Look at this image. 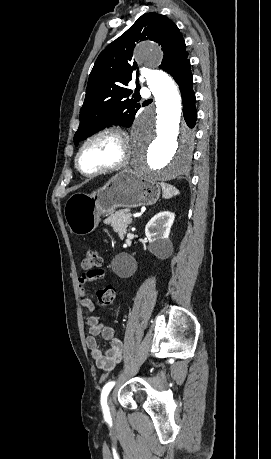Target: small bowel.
I'll list each match as a JSON object with an SVG mask.
<instances>
[{
	"label": "small bowel",
	"mask_w": 271,
	"mask_h": 459,
	"mask_svg": "<svg viewBox=\"0 0 271 459\" xmlns=\"http://www.w3.org/2000/svg\"><path fill=\"white\" fill-rule=\"evenodd\" d=\"M105 280L106 273L103 269L86 271L79 277L78 286L81 305L88 311H93L95 304L87 295V284ZM87 323L88 336L86 337V345L92 358L100 369L105 371L113 370L116 364L121 361L123 351L122 342L116 337L115 329L111 326H104L96 316H89ZM98 335H101L103 339L109 342L106 350L101 348L97 340Z\"/></svg>",
	"instance_id": "small-bowel-1"
}]
</instances>
